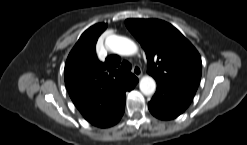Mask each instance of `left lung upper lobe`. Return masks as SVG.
Listing matches in <instances>:
<instances>
[{
	"label": "left lung upper lobe",
	"mask_w": 247,
	"mask_h": 145,
	"mask_svg": "<svg viewBox=\"0 0 247 145\" xmlns=\"http://www.w3.org/2000/svg\"><path fill=\"white\" fill-rule=\"evenodd\" d=\"M125 24L145 50L148 73L156 82L194 97L202 70L195 47L162 20L127 19Z\"/></svg>",
	"instance_id": "5c2ea615"
}]
</instances>
